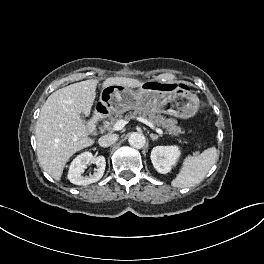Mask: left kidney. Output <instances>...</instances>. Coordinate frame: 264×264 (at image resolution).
<instances>
[{
  "label": "left kidney",
  "mask_w": 264,
  "mask_h": 264,
  "mask_svg": "<svg viewBox=\"0 0 264 264\" xmlns=\"http://www.w3.org/2000/svg\"><path fill=\"white\" fill-rule=\"evenodd\" d=\"M181 155L178 146H156L151 151V161L154 168L162 174L170 172Z\"/></svg>",
  "instance_id": "left-kidney-1"
}]
</instances>
